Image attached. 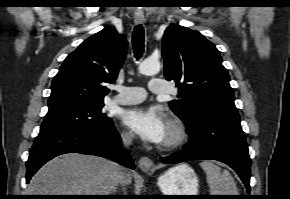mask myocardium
<instances>
[{
  "label": "myocardium",
  "mask_w": 290,
  "mask_h": 199,
  "mask_svg": "<svg viewBox=\"0 0 290 199\" xmlns=\"http://www.w3.org/2000/svg\"><path fill=\"white\" fill-rule=\"evenodd\" d=\"M167 126L171 131V137L161 144L163 150H173L181 146L188 138V130L184 122L177 116L168 117Z\"/></svg>",
  "instance_id": "myocardium-1"
}]
</instances>
